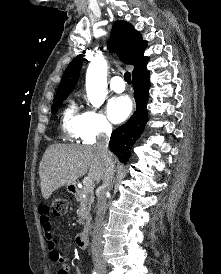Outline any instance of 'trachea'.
<instances>
[{
  "label": "trachea",
  "instance_id": "3493384b",
  "mask_svg": "<svg viewBox=\"0 0 221 274\" xmlns=\"http://www.w3.org/2000/svg\"><path fill=\"white\" fill-rule=\"evenodd\" d=\"M124 79L128 84H130V82H131L130 72L126 71V73L124 74Z\"/></svg>",
  "mask_w": 221,
  "mask_h": 274
}]
</instances>
